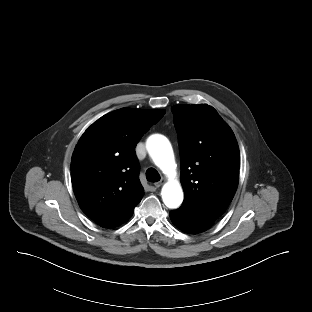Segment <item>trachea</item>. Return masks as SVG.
I'll return each mask as SVG.
<instances>
[{"instance_id": "obj_1", "label": "trachea", "mask_w": 312, "mask_h": 312, "mask_svg": "<svg viewBox=\"0 0 312 312\" xmlns=\"http://www.w3.org/2000/svg\"><path fill=\"white\" fill-rule=\"evenodd\" d=\"M146 178L150 182H157L160 180V175L154 168H149L146 171Z\"/></svg>"}]
</instances>
